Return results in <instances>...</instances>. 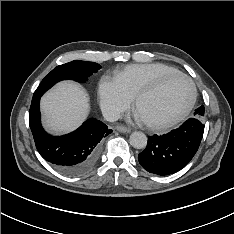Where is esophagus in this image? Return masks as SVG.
<instances>
[{"instance_id": "1", "label": "esophagus", "mask_w": 234, "mask_h": 234, "mask_svg": "<svg viewBox=\"0 0 234 234\" xmlns=\"http://www.w3.org/2000/svg\"><path fill=\"white\" fill-rule=\"evenodd\" d=\"M116 130L121 132V133H130L131 132L130 128H127V127H125L123 125H117Z\"/></svg>"}]
</instances>
